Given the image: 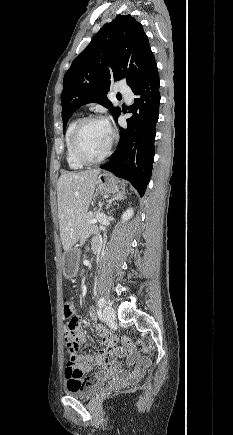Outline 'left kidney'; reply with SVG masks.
Listing matches in <instances>:
<instances>
[{"instance_id": "obj_1", "label": "left kidney", "mask_w": 233, "mask_h": 435, "mask_svg": "<svg viewBox=\"0 0 233 435\" xmlns=\"http://www.w3.org/2000/svg\"><path fill=\"white\" fill-rule=\"evenodd\" d=\"M133 213H134V212H133V209H132V208L127 209V210L123 213V215H122L123 222L127 221L128 219H130V217H132Z\"/></svg>"}]
</instances>
